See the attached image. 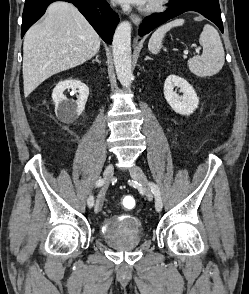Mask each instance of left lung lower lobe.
Masks as SVG:
<instances>
[{
	"mask_svg": "<svg viewBox=\"0 0 249 294\" xmlns=\"http://www.w3.org/2000/svg\"><path fill=\"white\" fill-rule=\"evenodd\" d=\"M186 11H196L215 23L221 32L223 24L218 0H171L170 7L161 14L146 17L139 27V35L143 36L167 20Z\"/></svg>",
	"mask_w": 249,
	"mask_h": 294,
	"instance_id": "0a47b994",
	"label": "left lung lower lobe"
}]
</instances>
